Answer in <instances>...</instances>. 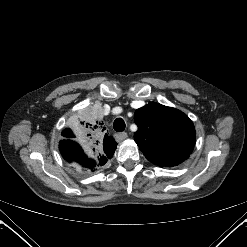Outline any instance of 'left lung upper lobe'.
Listing matches in <instances>:
<instances>
[{
    "label": "left lung upper lobe",
    "instance_id": "5c2ea615",
    "mask_svg": "<svg viewBox=\"0 0 247 247\" xmlns=\"http://www.w3.org/2000/svg\"><path fill=\"white\" fill-rule=\"evenodd\" d=\"M134 140L145 157L160 167L185 161L193 151L196 133L183 112L150 102L135 112Z\"/></svg>",
    "mask_w": 247,
    "mask_h": 247
}]
</instances>
